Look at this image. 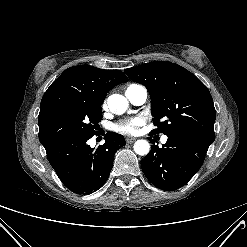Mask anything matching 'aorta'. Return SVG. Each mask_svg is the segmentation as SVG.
Instances as JSON below:
<instances>
[{"instance_id": "762f6f07", "label": "aorta", "mask_w": 247, "mask_h": 247, "mask_svg": "<svg viewBox=\"0 0 247 247\" xmlns=\"http://www.w3.org/2000/svg\"><path fill=\"white\" fill-rule=\"evenodd\" d=\"M110 111L114 114L121 115L128 108V100L120 94H113L107 100ZM134 151L136 154L144 156L150 151V144L146 140H137L134 144Z\"/></svg>"}]
</instances>
